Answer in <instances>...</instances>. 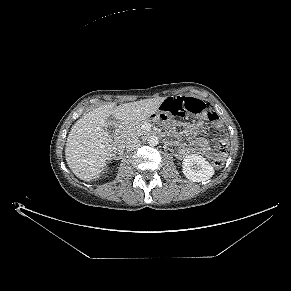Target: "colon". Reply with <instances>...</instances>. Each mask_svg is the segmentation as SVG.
Returning <instances> with one entry per match:
<instances>
[{
    "mask_svg": "<svg viewBox=\"0 0 291 291\" xmlns=\"http://www.w3.org/2000/svg\"><path fill=\"white\" fill-rule=\"evenodd\" d=\"M161 110L177 117L201 116L211 121L216 127L220 126L217 113L209 105L196 98L169 97L163 102ZM228 148V143L225 140L219 141L217 145L218 155L213 161L215 168L223 166Z\"/></svg>",
    "mask_w": 291,
    "mask_h": 291,
    "instance_id": "obj_1",
    "label": "colon"
}]
</instances>
